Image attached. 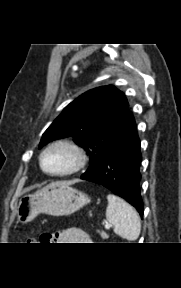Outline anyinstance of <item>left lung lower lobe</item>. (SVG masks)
Returning a JSON list of instances; mask_svg holds the SVG:
<instances>
[{
  "mask_svg": "<svg viewBox=\"0 0 181 288\" xmlns=\"http://www.w3.org/2000/svg\"><path fill=\"white\" fill-rule=\"evenodd\" d=\"M140 140L133 115L130 113L123 133L106 153L98 166L81 179L100 184L125 199L143 216L144 208L140 195Z\"/></svg>",
  "mask_w": 181,
  "mask_h": 288,
  "instance_id": "1",
  "label": "left lung lower lobe"
}]
</instances>
